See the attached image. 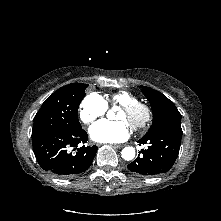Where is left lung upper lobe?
Returning a JSON list of instances; mask_svg holds the SVG:
<instances>
[{
  "instance_id": "5c2ea615",
  "label": "left lung upper lobe",
  "mask_w": 221,
  "mask_h": 221,
  "mask_svg": "<svg viewBox=\"0 0 221 221\" xmlns=\"http://www.w3.org/2000/svg\"><path fill=\"white\" fill-rule=\"evenodd\" d=\"M141 87L143 94L150 102L154 117L152 126L145 135L161 128L181 129V114L174 103L152 88Z\"/></svg>"
}]
</instances>
